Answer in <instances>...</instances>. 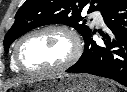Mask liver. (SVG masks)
Instances as JSON below:
<instances>
[{"label": "liver", "mask_w": 127, "mask_h": 92, "mask_svg": "<svg viewBox=\"0 0 127 92\" xmlns=\"http://www.w3.org/2000/svg\"><path fill=\"white\" fill-rule=\"evenodd\" d=\"M43 77H45V76H42V77H39V78H43ZM34 79H38V77H32V78H30L28 80H23V79L15 80L10 85H19L22 82L29 81V80H34Z\"/></svg>", "instance_id": "obj_1"}]
</instances>
